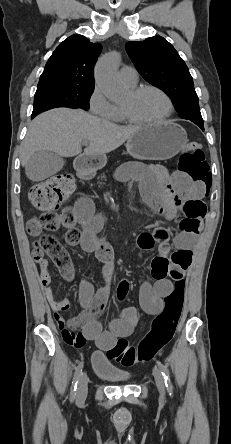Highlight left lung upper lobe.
Here are the masks:
<instances>
[{
    "instance_id": "left-lung-upper-lobe-1",
    "label": "left lung upper lobe",
    "mask_w": 231,
    "mask_h": 444,
    "mask_svg": "<svg viewBox=\"0 0 231 444\" xmlns=\"http://www.w3.org/2000/svg\"><path fill=\"white\" fill-rule=\"evenodd\" d=\"M126 49L141 76L172 98L182 118L203 123L192 76L166 39L154 36L144 41L128 42Z\"/></svg>"
}]
</instances>
